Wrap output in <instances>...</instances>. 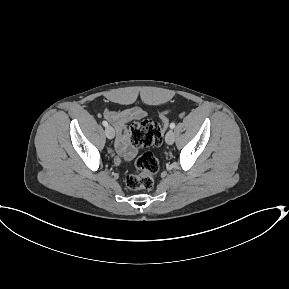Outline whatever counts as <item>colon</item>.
Segmentation results:
<instances>
[{
	"mask_svg": "<svg viewBox=\"0 0 289 289\" xmlns=\"http://www.w3.org/2000/svg\"><path fill=\"white\" fill-rule=\"evenodd\" d=\"M168 111L161 114L163 124L168 121ZM131 139L137 147L160 146L163 140V128L157 121L145 119L136 122L131 127ZM136 173H130L125 178L126 187L137 191L150 189L154 185V177L159 170V162L152 152H145L135 162Z\"/></svg>",
	"mask_w": 289,
	"mask_h": 289,
	"instance_id": "obj_1",
	"label": "colon"
}]
</instances>
